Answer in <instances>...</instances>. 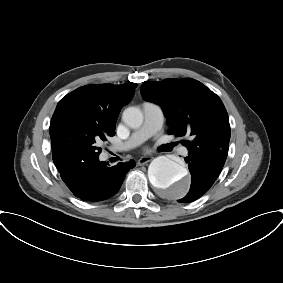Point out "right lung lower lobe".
<instances>
[{"instance_id": "right-lung-lower-lobe-1", "label": "right lung lower lobe", "mask_w": 283, "mask_h": 283, "mask_svg": "<svg viewBox=\"0 0 283 283\" xmlns=\"http://www.w3.org/2000/svg\"><path fill=\"white\" fill-rule=\"evenodd\" d=\"M98 156L87 154L58 169L68 188L84 201H102L115 195L127 172L135 166L130 161L110 167L105 161H100Z\"/></svg>"}]
</instances>
